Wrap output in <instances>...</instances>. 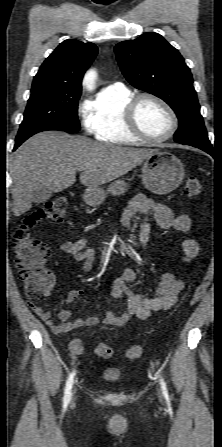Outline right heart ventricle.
I'll return each instance as SVG.
<instances>
[{"instance_id": "obj_1", "label": "right heart ventricle", "mask_w": 222, "mask_h": 447, "mask_svg": "<svg viewBox=\"0 0 222 447\" xmlns=\"http://www.w3.org/2000/svg\"><path fill=\"white\" fill-rule=\"evenodd\" d=\"M134 96L128 88H106L86 112L89 132L100 142L114 145H132L144 142L126 126L124 111Z\"/></svg>"}]
</instances>
